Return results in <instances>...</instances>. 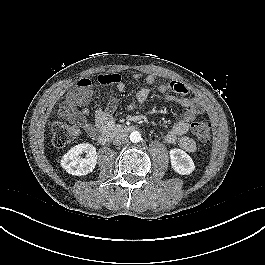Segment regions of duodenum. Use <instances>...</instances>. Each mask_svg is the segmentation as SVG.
<instances>
[{
  "mask_svg": "<svg viewBox=\"0 0 265 265\" xmlns=\"http://www.w3.org/2000/svg\"><path fill=\"white\" fill-rule=\"evenodd\" d=\"M135 127L129 124H119L115 127L108 128L104 131L97 132L93 135L101 144L110 142L112 139L123 133L135 131Z\"/></svg>",
  "mask_w": 265,
  "mask_h": 265,
  "instance_id": "1",
  "label": "duodenum"
}]
</instances>
